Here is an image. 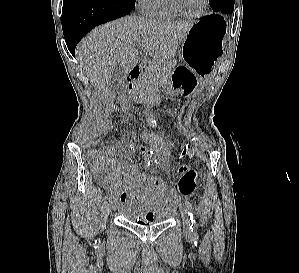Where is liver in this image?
<instances>
[{
	"label": "liver",
	"mask_w": 299,
	"mask_h": 273,
	"mask_svg": "<svg viewBox=\"0 0 299 273\" xmlns=\"http://www.w3.org/2000/svg\"><path fill=\"white\" fill-rule=\"evenodd\" d=\"M195 22L156 21L127 16L93 29L76 49V57L103 100L116 97L110 86L114 68L124 70V79L138 64L139 43L156 60L172 59Z\"/></svg>",
	"instance_id": "6515ba94"
}]
</instances>
